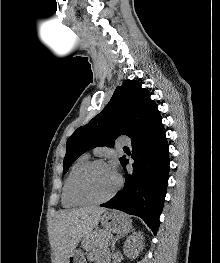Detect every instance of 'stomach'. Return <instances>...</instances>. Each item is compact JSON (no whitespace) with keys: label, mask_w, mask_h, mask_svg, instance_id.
<instances>
[{"label":"stomach","mask_w":220,"mask_h":263,"mask_svg":"<svg viewBox=\"0 0 220 263\" xmlns=\"http://www.w3.org/2000/svg\"><path fill=\"white\" fill-rule=\"evenodd\" d=\"M103 230L111 233H126L132 227L131 219L124 213L119 211L105 212L101 218ZM65 263H86V259L81 251L74 250Z\"/></svg>","instance_id":"1"}]
</instances>
